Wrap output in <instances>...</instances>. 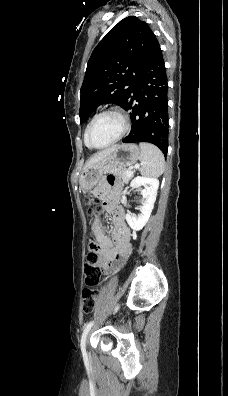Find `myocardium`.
Wrapping results in <instances>:
<instances>
[{
	"label": "myocardium",
	"instance_id": "1",
	"mask_svg": "<svg viewBox=\"0 0 228 396\" xmlns=\"http://www.w3.org/2000/svg\"><path fill=\"white\" fill-rule=\"evenodd\" d=\"M108 114H113V115H116L119 117V119L122 122L121 132L114 140H112L108 144L103 145V146H95L91 143L92 129L99 118H101L104 115H108ZM129 129H130V121H129L128 116L125 114V112L118 107H111V108H108V109H105V110L99 112L97 115L94 116V118L90 122V125L87 130L86 141H87L88 146L92 149H104V148L110 147L111 145L120 141L126 135V133L129 131Z\"/></svg>",
	"mask_w": 228,
	"mask_h": 396
}]
</instances>
